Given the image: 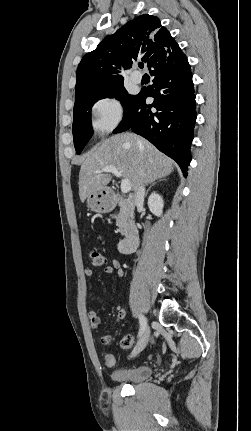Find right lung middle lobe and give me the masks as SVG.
Instances as JSON below:
<instances>
[{
    "label": "right lung middle lobe",
    "instance_id": "right-lung-middle-lobe-1",
    "mask_svg": "<svg viewBox=\"0 0 251 431\" xmlns=\"http://www.w3.org/2000/svg\"><path fill=\"white\" fill-rule=\"evenodd\" d=\"M116 98L126 108L127 104L134 97L129 95L125 90L123 81L105 87L100 90L88 92L75 96L74 120H73V138L77 154H80L93 134L91 126V109L92 106L103 98Z\"/></svg>",
    "mask_w": 251,
    "mask_h": 431
}]
</instances>
